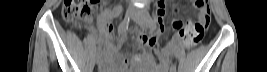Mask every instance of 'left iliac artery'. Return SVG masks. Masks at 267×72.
Instances as JSON below:
<instances>
[{"label":"left iliac artery","instance_id":"1","mask_svg":"<svg viewBox=\"0 0 267 72\" xmlns=\"http://www.w3.org/2000/svg\"><path fill=\"white\" fill-rule=\"evenodd\" d=\"M148 27L151 30H155L156 29V22L151 18V16L149 15V22H148ZM171 69H176L175 65H171Z\"/></svg>","mask_w":267,"mask_h":72}]
</instances>
